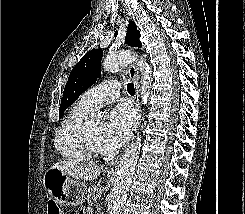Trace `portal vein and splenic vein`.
<instances>
[{
	"instance_id": "18ae733b",
	"label": "portal vein and splenic vein",
	"mask_w": 245,
	"mask_h": 214,
	"mask_svg": "<svg viewBox=\"0 0 245 214\" xmlns=\"http://www.w3.org/2000/svg\"><path fill=\"white\" fill-rule=\"evenodd\" d=\"M101 195H102V192L99 191V192L97 193V197H101Z\"/></svg>"
}]
</instances>
